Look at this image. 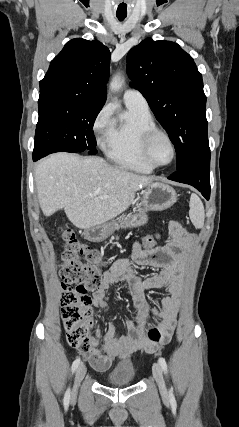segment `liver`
Returning <instances> with one entry per match:
<instances>
[{
    "mask_svg": "<svg viewBox=\"0 0 239 427\" xmlns=\"http://www.w3.org/2000/svg\"><path fill=\"white\" fill-rule=\"evenodd\" d=\"M35 182L46 217L64 208L74 226L87 229L124 212L135 193L153 179L112 166L101 157L55 153L37 164Z\"/></svg>",
    "mask_w": 239,
    "mask_h": 427,
    "instance_id": "1",
    "label": "liver"
}]
</instances>
